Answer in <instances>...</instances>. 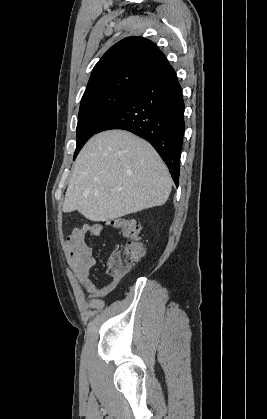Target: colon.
<instances>
[{
	"mask_svg": "<svg viewBox=\"0 0 267 419\" xmlns=\"http://www.w3.org/2000/svg\"><path fill=\"white\" fill-rule=\"evenodd\" d=\"M108 224L119 229L127 239L122 248L111 252L108 261V274L113 277H121L128 273L144 255L140 226L135 220L128 217L115 218Z\"/></svg>",
	"mask_w": 267,
	"mask_h": 419,
	"instance_id": "1",
	"label": "colon"
}]
</instances>
